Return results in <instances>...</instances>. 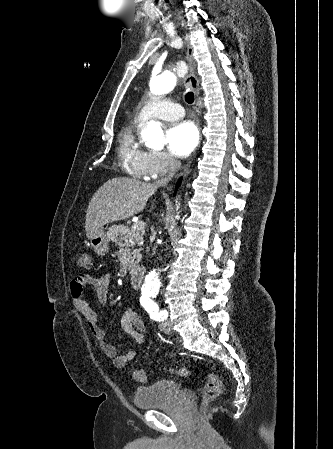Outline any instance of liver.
Segmentation results:
<instances>
[{"label":"liver","instance_id":"liver-1","mask_svg":"<svg viewBox=\"0 0 333 449\" xmlns=\"http://www.w3.org/2000/svg\"><path fill=\"white\" fill-rule=\"evenodd\" d=\"M158 186L126 177L105 182L88 205L85 222L87 238L94 236L105 224L140 213Z\"/></svg>","mask_w":333,"mask_h":449}]
</instances>
